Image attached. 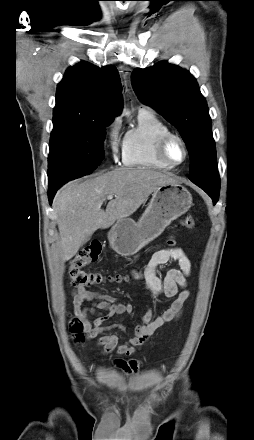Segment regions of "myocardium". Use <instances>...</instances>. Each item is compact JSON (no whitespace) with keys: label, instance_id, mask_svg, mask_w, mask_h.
Returning a JSON list of instances; mask_svg holds the SVG:
<instances>
[{"label":"myocardium","instance_id":"1","mask_svg":"<svg viewBox=\"0 0 254 440\" xmlns=\"http://www.w3.org/2000/svg\"><path fill=\"white\" fill-rule=\"evenodd\" d=\"M172 141H177L181 145L182 150H183V159L179 163L173 162L169 158L168 153H167L168 147ZM155 153H156V157L162 163H164L165 165L170 166L172 168H175V167L181 166L187 160L188 148H187V145H186L184 139L180 135L170 131V132H166V133L162 134L158 138L156 146H155Z\"/></svg>","mask_w":254,"mask_h":440}]
</instances>
